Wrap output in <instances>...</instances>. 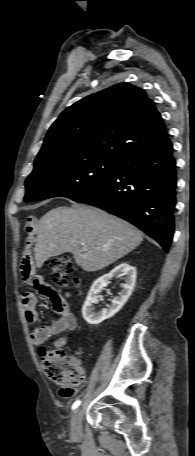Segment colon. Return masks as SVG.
<instances>
[{
  "label": "colon",
  "instance_id": "colon-1",
  "mask_svg": "<svg viewBox=\"0 0 195 456\" xmlns=\"http://www.w3.org/2000/svg\"><path fill=\"white\" fill-rule=\"evenodd\" d=\"M52 270L53 281L58 286L77 284L74 275V261L68 255L51 258L47 261ZM43 367L47 375L63 388L79 386L84 378L83 367L75 358L68 357L61 349H41Z\"/></svg>",
  "mask_w": 195,
  "mask_h": 456
}]
</instances>
